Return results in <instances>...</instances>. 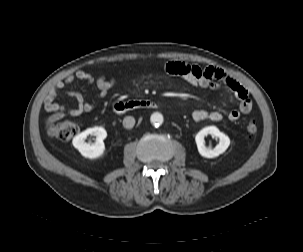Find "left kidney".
<instances>
[{"instance_id":"5707ae66","label":"left kidney","mask_w":303,"mask_h":252,"mask_svg":"<svg viewBox=\"0 0 303 252\" xmlns=\"http://www.w3.org/2000/svg\"><path fill=\"white\" fill-rule=\"evenodd\" d=\"M208 134L219 138V143L213 149L205 146L204 137ZM195 141L199 153L206 158H215L219 156L224 153L230 145L229 137L223 132H220L216 126H207L200 130L195 137Z\"/></svg>"}]
</instances>
